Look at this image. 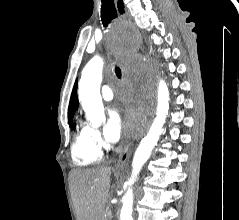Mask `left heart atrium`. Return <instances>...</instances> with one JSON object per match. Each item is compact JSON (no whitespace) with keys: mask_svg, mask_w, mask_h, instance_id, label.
Masks as SVG:
<instances>
[{"mask_svg":"<svg viewBox=\"0 0 239 220\" xmlns=\"http://www.w3.org/2000/svg\"><path fill=\"white\" fill-rule=\"evenodd\" d=\"M119 102L123 106V113L127 116V122L124 123L121 119L119 111L116 107L112 108L109 112L107 123L104 127L105 139L110 143L117 142L123 132L124 127H138L141 124V119L130 108L128 97L122 93L118 96Z\"/></svg>","mask_w":239,"mask_h":220,"instance_id":"left-heart-atrium-1","label":"left heart atrium"}]
</instances>
